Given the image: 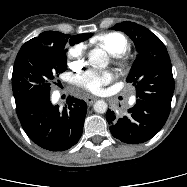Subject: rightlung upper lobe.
<instances>
[{"label":"right lung upper lobe","instance_id":"obj_1","mask_svg":"<svg viewBox=\"0 0 187 187\" xmlns=\"http://www.w3.org/2000/svg\"><path fill=\"white\" fill-rule=\"evenodd\" d=\"M90 36L91 33L69 36L57 31H46L41 33L38 37H35L27 42H37L46 45H63L65 43L76 44L88 39Z\"/></svg>","mask_w":187,"mask_h":187}]
</instances>
